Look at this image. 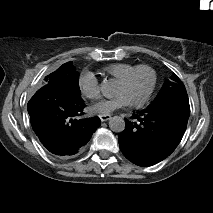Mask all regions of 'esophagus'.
I'll return each instance as SVG.
<instances>
[{
	"instance_id": "obj_1",
	"label": "esophagus",
	"mask_w": 213,
	"mask_h": 213,
	"mask_svg": "<svg viewBox=\"0 0 213 213\" xmlns=\"http://www.w3.org/2000/svg\"><path fill=\"white\" fill-rule=\"evenodd\" d=\"M110 118V115H100V119L102 122L108 121Z\"/></svg>"
}]
</instances>
